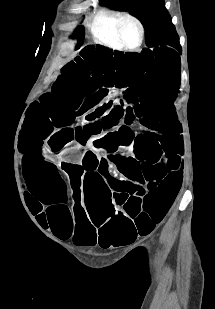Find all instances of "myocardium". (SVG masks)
Segmentation results:
<instances>
[{"instance_id":"1","label":"myocardium","mask_w":215,"mask_h":309,"mask_svg":"<svg viewBox=\"0 0 215 309\" xmlns=\"http://www.w3.org/2000/svg\"><path fill=\"white\" fill-rule=\"evenodd\" d=\"M124 23H131L133 24L136 29H137V42L136 44L132 45V46H125V42H124V38L122 37V33L120 30L123 29V24ZM115 31L117 33V39L119 41V43H121V48H139L143 42V38H144V29L143 26L141 24V22L134 16L130 15V14H121V19H116V26H115Z\"/></svg>"}]
</instances>
